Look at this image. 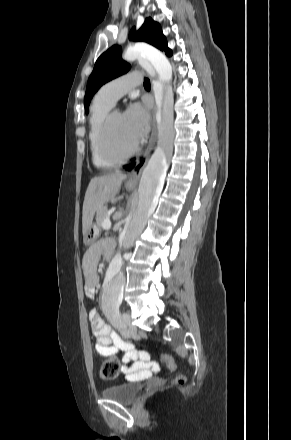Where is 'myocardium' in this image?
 <instances>
[{
	"label": "myocardium",
	"mask_w": 291,
	"mask_h": 440,
	"mask_svg": "<svg viewBox=\"0 0 291 440\" xmlns=\"http://www.w3.org/2000/svg\"><path fill=\"white\" fill-rule=\"evenodd\" d=\"M120 113L118 110H111L104 118L99 130L100 149L105 158L115 163H122L130 159L138 150L137 142L131 149L124 153L115 151L110 144V129L114 116Z\"/></svg>",
	"instance_id": "f54148a6"
}]
</instances>
